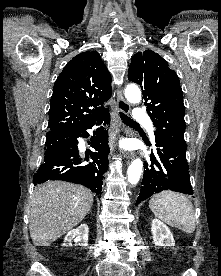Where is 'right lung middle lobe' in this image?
Returning a JSON list of instances; mask_svg holds the SVG:
<instances>
[{
  "mask_svg": "<svg viewBox=\"0 0 221 276\" xmlns=\"http://www.w3.org/2000/svg\"><path fill=\"white\" fill-rule=\"evenodd\" d=\"M73 140V136L71 135H53V136H46V147H45V154L63 150L68 148Z\"/></svg>",
  "mask_w": 221,
  "mask_h": 276,
  "instance_id": "obj_1",
  "label": "right lung middle lobe"
}]
</instances>
